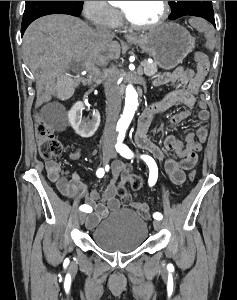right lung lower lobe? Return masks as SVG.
Masks as SVG:
<instances>
[{
  "label": "right lung lower lobe",
  "mask_w": 237,
  "mask_h": 300,
  "mask_svg": "<svg viewBox=\"0 0 237 300\" xmlns=\"http://www.w3.org/2000/svg\"><path fill=\"white\" fill-rule=\"evenodd\" d=\"M49 14H68V15H72V16H79L81 14V10H77V9H62V10H55V11H50L47 12L45 14H42L36 18H33L31 20L28 21H22V28H21V34L23 35L24 31L26 30V28L37 18L41 17V16H45V15H49Z\"/></svg>",
  "instance_id": "obj_1"
}]
</instances>
